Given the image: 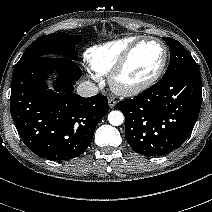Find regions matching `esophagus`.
Instances as JSON below:
<instances>
[{"label":"esophagus","mask_w":212,"mask_h":212,"mask_svg":"<svg viewBox=\"0 0 212 212\" xmlns=\"http://www.w3.org/2000/svg\"><path fill=\"white\" fill-rule=\"evenodd\" d=\"M108 104L110 108H114L116 106V101L113 98H109Z\"/></svg>","instance_id":"obj_1"}]
</instances>
